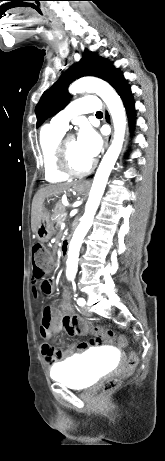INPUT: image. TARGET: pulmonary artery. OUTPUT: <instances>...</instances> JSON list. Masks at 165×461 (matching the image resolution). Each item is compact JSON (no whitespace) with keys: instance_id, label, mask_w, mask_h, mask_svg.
Instances as JSON below:
<instances>
[{"instance_id":"1","label":"pulmonary artery","mask_w":165,"mask_h":461,"mask_svg":"<svg viewBox=\"0 0 165 461\" xmlns=\"http://www.w3.org/2000/svg\"><path fill=\"white\" fill-rule=\"evenodd\" d=\"M101 104L96 97H83L71 102L65 109L57 113L51 120V124L63 131L68 129L69 120L81 113H95L99 111Z\"/></svg>"}]
</instances>
